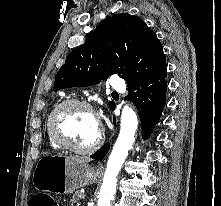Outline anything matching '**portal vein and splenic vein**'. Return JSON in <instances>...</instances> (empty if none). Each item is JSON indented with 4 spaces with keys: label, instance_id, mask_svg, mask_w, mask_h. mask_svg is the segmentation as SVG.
<instances>
[{
    "label": "portal vein and splenic vein",
    "instance_id": "18ae733b",
    "mask_svg": "<svg viewBox=\"0 0 221 206\" xmlns=\"http://www.w3.org/2000/svg\"><path fill=\"white\" fill-rule=\"evenodd\" d=\"M80 198H81V199L84 198V195H81Z\"/></svg>",
    "mask_w": 221,
    "mask_h": 206
}]
</instances>
